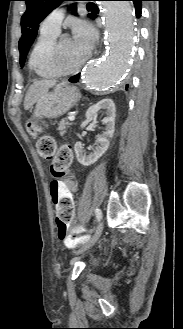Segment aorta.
Segmentation results:
<instances>
[{"label":"aorta","mask_w":183,"mask_h":329,"mask_svg":"<svg viewBox=\"0 0 183 329\" xmlns=\"http://www.w3.org/2000/svg\"><path fill=\"white\" fill-rule=\"evenodd\" d=\"M107 34V52L84 71L83 80L90 89L109 91L120 81L127 67L133 44V8L128 1L102 3Z\"/></svg>","instance_id":"aorta-1"}]
</instances>
